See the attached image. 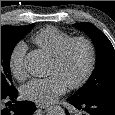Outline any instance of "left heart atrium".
I'll return each instance as SVG.
<instances>
[{"label":"left heart atrium","instance_id":"1","mask_svg":"<svg viewBox=\"0 0 115 115\" xmlns=\"http://www.w3.org/2000/svg\"><path fill=\"white\" fill-rule=\"evenodd\" d=\"M68 85L58 75L33 79L21 88V96L29 101L47 105L66 92Z\"/></svg>","mask_w":115,"mask_h":115}]
</instances>
